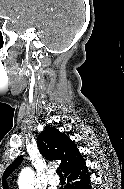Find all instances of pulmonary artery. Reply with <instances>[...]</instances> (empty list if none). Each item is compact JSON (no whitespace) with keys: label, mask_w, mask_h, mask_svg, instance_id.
Instances as JSON below:
<instances>
[{"label":"pulmonary artery","mask_w":124,"mask_h":189,"mask_svg":"<svg viewBox=\"0 0 124 189\" xmlns=\"http://www.w3.org/2000/svg\"><path fill=\"white\" fill-rule=\"evenodd\" d=\"M59 179L55 176V175H51L49 178H48V183L49 185L54 188L56 187L58 184H59Z\"/></svg>","instance_id":"e3ab8cb5"}]
</instances>
